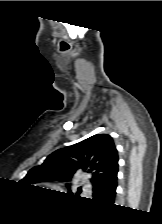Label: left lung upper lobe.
Returning <instances> with one entry per match:
<instances>
[{
  "instance_id": "1",
  "label": "left lung upper lobe",
  "mask_w": 162,
  "mask_h": 224,
  "mask_svg": "<svg viewBox=\"0 0 162 224\" xmlns=\"http://www.w3.org/2000/svg\"><path fill=\"white\" fill-rule=\"evenodd\" d=\"M116 170L118 153L113 139L107 134H97L56 150L43 164L29 170L21 182L30 185L49 180L66 181L77 171H84L92 176L94 188L100 186Z\"/></svg>"
}]
</instances>
